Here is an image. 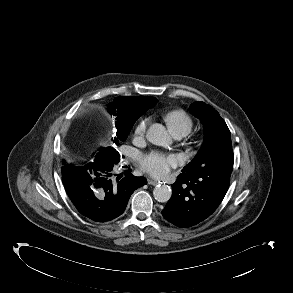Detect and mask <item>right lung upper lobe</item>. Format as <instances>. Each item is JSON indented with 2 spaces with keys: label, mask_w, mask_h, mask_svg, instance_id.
Returning a JSON list of instances; mask_svg holds the SVG:
<instances>
[{
  "label": "right lung upper lobe",
  "mask_w": 293,
  "mask_h": 293,
  "mask_svg": "<svg viewBox=\"0 0 293 293\" xmlns=\"http://www.w3.org/2000/svg\"><path fill=\"white\" fill-rule=\"evenodd\" d=\"M157 102L154 97H132L119 96L114 101L108 104V111L116 117V127L127 123L135 122L149 108L153 107ZM105 149L99 152L105 151ZM69 165H65L61 170H64Z\"/></svg>",
  "instance_id": "cb5924a9"
}]
</instances>
